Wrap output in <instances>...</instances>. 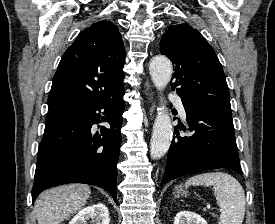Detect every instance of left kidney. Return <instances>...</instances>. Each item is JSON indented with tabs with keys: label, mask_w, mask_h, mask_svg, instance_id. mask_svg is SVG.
<instances>
[{
	"label": "left kidney",
	"mask_w": 275,
	"mask_h": 224,
	"mask_svg": "<svg viewBox=\"0 0 275 224\" xmlns=\"http://www.w3.org/2000/svg\"><path fill=\"white\" fill-rule=\"evenodd\" d=\"M174 224H208L200 215L190 211L177 213Z\"/></svg>",
	"instance_id": "left-kidney-1"
}]
</instances>
